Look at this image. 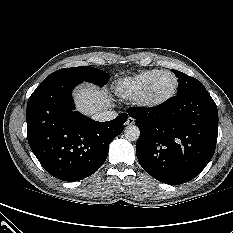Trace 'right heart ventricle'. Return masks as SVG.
Segmentation results:
<instances>
[{"mask_svg": "<svg viewBox=\"0 0 233 233\" xmlns=\"http://www.w3.org/2000/svg\"><path fill=\"white\" fill-rule=\"evenodd\" d=\"M160 71L159 69H149L122 78L116 82L114 91L121 98L136 99L141 95L149 81Z\"/></svg>", "mask_w": 233, "mask_h": 233, "instance_id": "right-heart-ventricle-1", "label": "right heart ventricle"}]
</instances>
